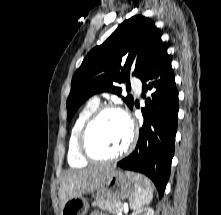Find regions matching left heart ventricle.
<instances>
[{
	"mask_svg": "<svg viewBox=\"0 0 221 215\" xmlns=\"http://www.w3.org/2000/svg\"><path fill=\"white\" fill-rule=\"evenodd\" d=\"M129 140V128L116 112H106L95 122L88 135V147L97 156L119 153Z\"/></svg>",
	"mask_w": 221,
	"mask_h": 215,
	"instance_id": "left-heart-ventricle-1",
	"label": "left heart ventricle"
}]
</instances>
